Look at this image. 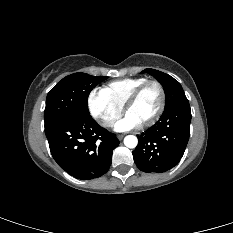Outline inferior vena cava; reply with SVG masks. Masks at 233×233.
I'll use <instances>...</instances> for the list:
<instances>
[{"label": "inferior vena cava", "instance_id": "602c4592", "mask_svg": "<svg viewBox=\"0 0 233 233\" xmlns=\"http://www.w3.org/2000/svg\"><path fill=\"white\" fill-rule=\"evenodd\" d=\"M112 123L111 122H107V125H111Z\"/></svg>", "mask_w": 233, "mask_h": 233}]
</instances>
